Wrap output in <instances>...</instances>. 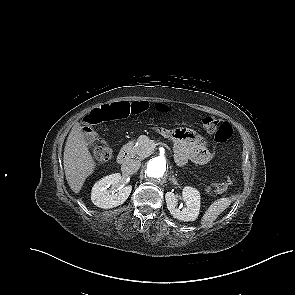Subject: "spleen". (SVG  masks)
<instances>
[{
    "instance_id": "3e777b00",
    "label": "spleen",
    "mask_w": 295,
    "mask_h": 295,
    "mask_svg": "<svg viewBox=\"0 0 295 295\" xmlns=\"http://www.w3.org/2000/svg\"><path fill=\"white\" fill-rule=\"evenodd\" d=\"M237 196L223 197L214 201L203 215L202 227L210 226L229 205L236 200Z\"/></svg>"
}]
</instances>
